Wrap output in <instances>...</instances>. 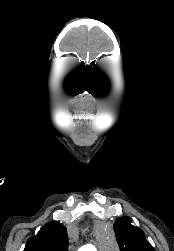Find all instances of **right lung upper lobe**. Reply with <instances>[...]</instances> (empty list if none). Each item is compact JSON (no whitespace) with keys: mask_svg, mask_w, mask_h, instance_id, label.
Masks as SVG:
<instances>
[{"mask_svg":"<svg viewBox=\"0 0 174 251\" xmlns=\"http://www.w3.org/2000/svg\"><path fill=\"white\" fill-rule=\"evenodd\" d=\"M68 236L64 225L51 221L27 240L24 251H67Z\"/></svg>","mask_w":174,"mask_h":251,"instance_id":"obj_1","label":"right lung upper lobe"}]
</instances>
